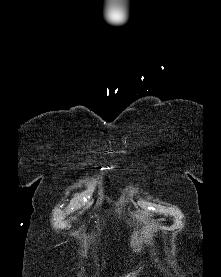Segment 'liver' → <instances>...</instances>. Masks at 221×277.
<instances>
[{
    "instance_id": "6515ba94",
    "label": "liver",
    "mask_w": 221,
    "mask_h": 277,
    "mask_svg": "<svg viewBox=\"0 0 221 277\" xmlns=\"http://www.w3.org/2000/svg\"><path fill=\"white\" fill-rule=\"evenodd\" d=\"M151 241L152 238L150 235L142 234L137 230L131 238V247H133V251L139 253L142 250V244H148Z\"/></svg>"
}]
</instances>
